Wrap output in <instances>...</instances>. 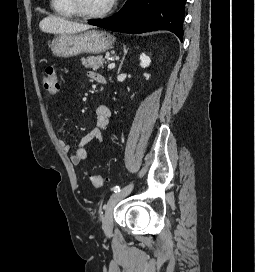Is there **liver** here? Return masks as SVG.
Instances as JSON below:
<instances>
[{"label": "liver", "mask_w": 255, "mask_h": 272, "mask_svg": "<svg viewBox=\"0 0 255 272\" xmlns=\"http://www.w3.org/2000/svg\"><path fill=\"white\" fill-rule=\"evenodd\" d=\"M39 27L43 32L53 34H75L91 28L90 25L72 22L53 15L45 17L39 23Z\"/></svg>", "instance_id": "6515ba94"}]
</instances>
